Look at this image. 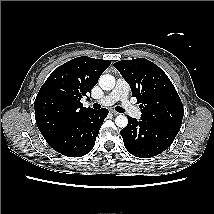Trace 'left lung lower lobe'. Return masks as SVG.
I'll list each match as a JSON object with an SVG mask.
<instances>
[{
  "label": "left lung lower lobe",
  "mask_w": 214,
  "mask_h": 214,
  "mask_svg": "<svg viewBox=\"0 0 214 214\" xmlns=\"http://www.w3.org/2000/svg\"><path fill=\"white\" fill-rule=\"evenodd\" d=\"M128 125L120 131L124 146L139 158L156 156L173 142L179 128L128 117Z\"/></svg>",
  "instance_id": "left-lung-lower-lobe-1"
}]
</instances>
